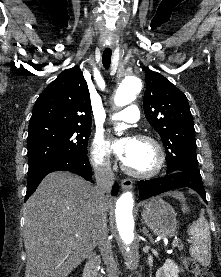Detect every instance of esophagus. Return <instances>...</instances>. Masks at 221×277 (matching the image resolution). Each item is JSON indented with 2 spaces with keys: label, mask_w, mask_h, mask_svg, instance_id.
Returning a JSON list of instances; mask_svg holds the SVG:
<instances>
[{
  "label": "esophagus",
  "mask_w": 221,
  "mask_h": 277,
  "mask_svg": "<svg viewBox=\"0 0 221 277\" xmlns=\"http://www.w3.org/2000/svg\"><path fill=\"white\" fill-rule=\"evenodd\" d=\"M132 184H133V182H132V180L131 179H124V180H122V182H121V187H122V189H130L131 187H132Z\"/></svg>",
  "instance_id": "1"
}]
</instances>
